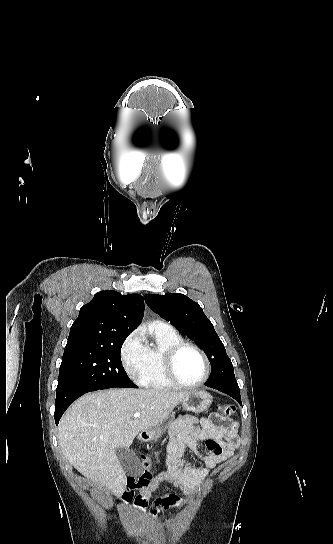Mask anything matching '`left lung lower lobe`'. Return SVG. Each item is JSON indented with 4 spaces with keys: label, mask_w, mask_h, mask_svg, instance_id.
I'll return each instance as SVG.
<instances>
[{
    "label": "left lung lower lobe",
    "mask_w": 333,
    "mask_h": 544,
    "mask_svg": "<svg viewBox=\"0 0 333 544\" xmlns=\"http://www.w3.org/2000/svg\"><path fill=\"white\" fill-rule=\"evenodd\" d=\"M211 388H214L216 390H219L231 397H233L234 399H236V401L241 405V396H240V390L239 389H234V388H220V387H211Z\"/></svg>",
    "instance_id": "0a47b994"
}]
</instances>
